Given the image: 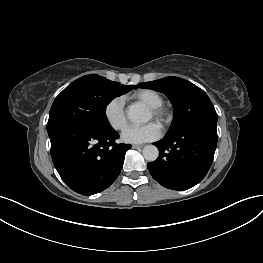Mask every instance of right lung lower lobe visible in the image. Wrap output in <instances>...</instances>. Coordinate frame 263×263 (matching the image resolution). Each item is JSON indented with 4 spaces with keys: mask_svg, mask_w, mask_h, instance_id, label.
Here are the masks:
<instances>
[{
    "mask_svg": "<svg viewBox=\"0 0 263 263\" xmlns=\"http://www.w3.org/2000/svg\"><path fill=\"white\" fill-rule=\"evenodd\" d=\"M51 156L62 180L75 192L93 195L118 177L129 144H117L118 133L82 124H62L48 130Z\"/></svg>",
    "mask_w": 263,
    "mask_h": 263,
    "instance_id": "1",
    "label": "right lung lower lobe"
}]
</instances>
